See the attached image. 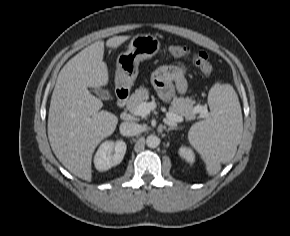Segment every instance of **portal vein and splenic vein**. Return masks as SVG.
I'll return each instance as SVG.
<instances>
[{
	"label": "portal vein and splenic vein",
	"instance_id": "1",
	"mask_svg": "<svg viewBox=\"0 0 290 236\" xmlns=\"http://www.w3.org/2000/svg\"><path fill=\"white\" fill-rule=\"evenodd\" d=\"M154 103L153 102H149V103H142L140 104L136 110H135V114L145 117L147 116L150 111L154 108ZM195 109L197 110V112H200L202 114H207V108L204 106H196ZM166 118L169 120V123H171L172 125H174L175 123H179L183 121V117L182 116H178L175 115L171 112H167L166 113Z\"/></svg>",
	"mask_w": 290,
	"mask_h": 236
}]
</instances>
